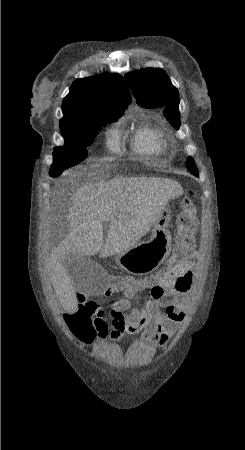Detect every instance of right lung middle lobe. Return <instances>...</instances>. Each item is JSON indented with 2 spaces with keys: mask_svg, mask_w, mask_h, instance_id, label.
Instances as JSON below:
<instances>
[{
  "mask_svg": "<svg viewBox=\"0 0 245 450\" xmlns=\"http://www.w3.org/2000/svg\"><path fill=\"white\" fill-rule=\"evenodd\" d=\"M126 108L96 104L74 115L63 117L60 121V131L65 145L53 153L54 163L50 176L57 177L65 169L87 158L86 147L93 142L100 128L121 116Z\"/></svg>",
  "mask_w": 245,
  "mask_h": 450,
  "instance_id": "obj_1",
  "label": "right lung middle lobe"
}]
</instances>
